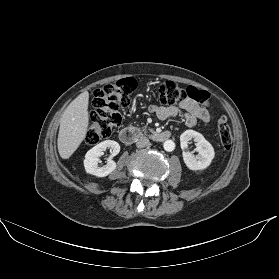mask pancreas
<instances>
[{"mask_svg": "<svg viewBox=\"0 0 279 279\" xmlns=\"http://www.w3.org/2000/svg\"><path fill=\"white\" fill-rule=\"evenodd\" d=\"M143 130H144V131L146 130V126L143 127Z\"/></svg>", "mask_w": 279, "mask_h": 279, "instance_id": "obj_1", "label": "pancreas"}]
</instances>
